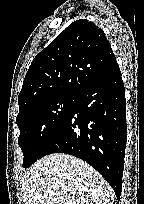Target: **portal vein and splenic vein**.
I'll list each match as a JSON object with an SVG mask.
<instances>
[{
	"mask_svg": "<svg viewBox=\"0 0 144 204\" xmlns=\"http://www.w3.org/2000/svg\"><path fill=\"white\" fill-rule=\"evenodd\" d=\"M54 193L53 192H49V195H53Z\"/></svg>",
	"mask_w": 144,
	"mask_h": 204,
	"instance_id": "portal-vein-and-splenic-vein-1",
	"label": "portal vein and splenic vein"
}]
</instances>
